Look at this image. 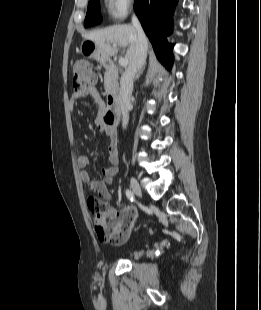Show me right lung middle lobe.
Returning a JSON list of instances; mask_svg holds the SVG:
<instances>
[{"label": "right lung middle lobe", "instance_id": "dd1d6c3e", "mask_svg": "<svg viewBox=\"0 0 261 310\" xmlns=\"http://www.w3.org/2000/svg\"><path fill=\"white\" fill-rule=\"evenodd\" d=\"M101 22L100 0H89L85 27H90Z\"/></svg>", "mask_w": 261, "mask_h": 310}]
</instances>
